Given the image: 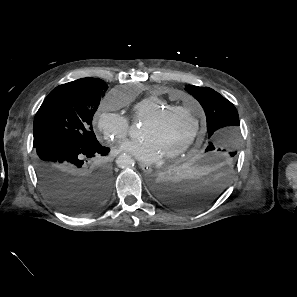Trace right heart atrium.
I'll return each mask as SVG.
<instances>
[{
    "instance_id": "1",
    "label": "right heart atrium",
    "mask_w": 297,
    "mask_h": 297,
    "mask_svg": "<svg viewBox=\"0 0 297 297\" xmlns=\"http://www.w3.org/2000/svg\"><path fill=\"white\" fill-rule=\"evenodd\" d=\"M120 102L109 94L100 104L95 116L97 129L110 142L122 141L128 134L129 119L119 112Z\"/></svg>"
}]
</instances>
